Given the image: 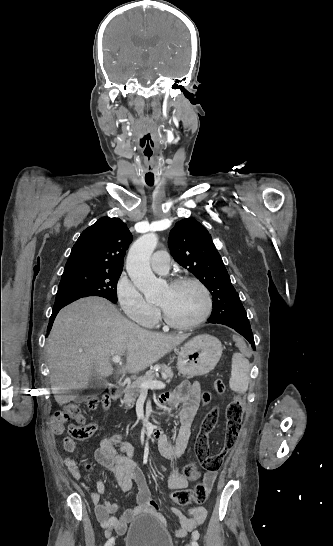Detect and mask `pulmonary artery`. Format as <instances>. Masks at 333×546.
Instances as JSON below:
<instances>
[{"label":"pulmonary artery","mask_w":333,"mask_h":546,"mask_svg":"<svg viewBox=\"0 0 333 546\" xmlns=\"http://www.w3.org/2000/svg\"><path fill=\"white\" fill-rule=\"evenodd\" d=\"M151 268L159 274H166L170 268V257L166 251H157L151 257Z\"/></svg>","instance_id":"1"}]
</instances>
